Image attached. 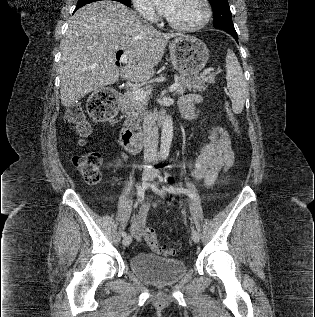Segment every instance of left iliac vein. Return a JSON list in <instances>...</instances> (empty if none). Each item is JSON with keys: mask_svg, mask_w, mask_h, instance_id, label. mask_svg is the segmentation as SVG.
<instances>
[{"mask_svg": "<svg viewBox=\"0 0 315 317\" xmlns=\"http://www.w3.org/2000/svg\"><path fill=\"white\" fill-rule=\"evenodd\" d=\"M156 186H157L156 183H153V184L151 185L153 191L156 192V193H158V194H160V195H163V194H164V190L157 191V190L155 189ZM191 238H192V240H193L195 243H198L199 240H200L199 232H198L196 229H194V228H193L192 231H191Z\"/></svg>", "mask_w": 315, "mask_h": 317, "instance_id": "obj_1", "label": "left iliac vein"}]
</instances>
